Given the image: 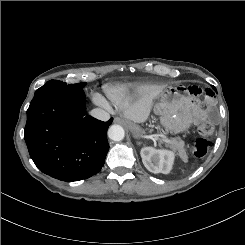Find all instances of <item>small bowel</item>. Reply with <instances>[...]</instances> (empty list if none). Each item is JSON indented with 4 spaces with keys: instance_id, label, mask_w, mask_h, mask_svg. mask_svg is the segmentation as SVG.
<instances>
[{
    "instance_id": "1",
    "label": "small bowel",
    "mask_w": 245,
    "mask_h": 245,
    "mask_svg": "<svg viewBox=\"0 0 245 245\" xmlns=\"http://www.w3.org/2000/svg\"><path fill=\"white\" fill-rule=\"evenodd\" d=\"M188 94L191 99L204 102L206 106L213 107L218 104L219 97L214 89L193 85L188 88ZM204 118V113L198 112L196 121L200 122Z\"/></svg>"
}]
</instances>
